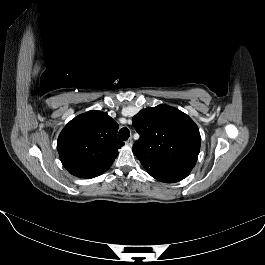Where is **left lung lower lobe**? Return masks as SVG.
Here are the masks:
<instances>
[{
	"mask_svg": "<svg viewBox=\"0 0 265 265\" xmlns=\"http://www.w3.org/2000/svg\"><path fill=\"white\" fill-rule=\"evenodd\" d=\"M196 161L197 159H188L165 165H153L145 169L153 178L161 182L174 183L186 178Z\"/></svg>",
	"mask_w": 265,
	"mask_h": 265,
	"instance_id": "left-lung-lower-lobe-1",
	"label": "left lung lower lobe"
}]
</instances>
